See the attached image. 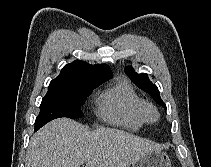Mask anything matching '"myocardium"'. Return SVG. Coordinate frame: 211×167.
Segmentation results:
<instances>
[{"instance_id": "obj_1", "label": "myocardium", "mask_w": 211, "mask_h": 167, "mask_svg": "<svg viewBox=\"0 0 211 167\" xmlns=\"http://www.w3.org/2000/svg\"><path fill=\"white\" fill-rule=\"evenodd\" d=\"M143 116L147 122H156L159 119L158 109L153 104L147 103L144 105Z\"/></svg>"}]
</instances>
